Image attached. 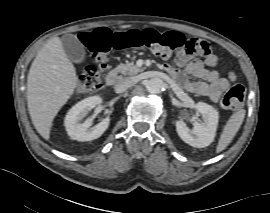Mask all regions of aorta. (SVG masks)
I'll list each match as a JSON object with an SVG mask.
<instances>
[{
	"instance_id": "obj_1",
	"label": "aorta",
	"mask_w": 270,
	"mask_h": 213,
	"mask_svg": "<svg viewBox=\"0 0 270 213\" xmlns=\"http://www.w3.org/2000/svg\"><path fill=\"white\" fill-rule=\"evenodd\" d=\"M164 85L160 78H152L147 82L146 88L152 94H159L164 90Z\"/></svg>"
}]
</instances>
